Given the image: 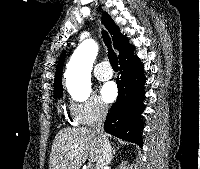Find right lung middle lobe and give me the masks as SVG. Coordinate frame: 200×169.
I'll list each match as a JSON object with an SVG mask.
<instances>
[{"mask_svg": "<svg viewBox=\"0 0 200 169\" xmlns=\"http://www.w3.org/2000/svg\"><path fill=\"white\" fill-rule=\"evenodd\" d=\"M55 95H56L57 97H61V96H63V92H55Z\"/></svg>", "mask_w": 200, "mask_h": 169, "instance_id": "right-lung-middle-lobe-1", "label": "right lung middle lobe"}]
</instances>
